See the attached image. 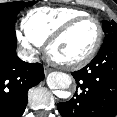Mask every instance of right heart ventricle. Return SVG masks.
Returning a JSON list of instances; mask_svg holds the SVG:
<instances>
[{"label": "right heart ventricle", "mask_w": 117, "mask_h": 117, "mask_svg": "<svg viewBox=\"0 0 117 117\" xmlns=\"http://www.w3.org/2000/svg\"><path fill=\"white\" fill-rule=\"evenodd\" d=\"M88 15L85 11L70 7H41L30 11L23 20L25 35L37 45L47 39L68 21Z\"/></svg>", "instance_id": "obj_1"}]
</instances>
